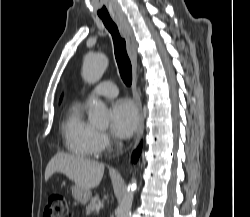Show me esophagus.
Masks as SVG:
<instances>
[{
    "instance_id": "1",
    "label": "esophagus",
    "mask_w": 250,
    "mask_h": 217,
    "mask_svg": "<svg viewBox=\"0 0 250 217\" xmlns=\"http://www.w3.org/2000/svg\"><path fill=\"white\" fill-rule=\"evenodd\" d=\"M121 34L126 39L127 43V50L130 57V60L132 62V68H133V78H132V93L133 98L137 107L138 115H139V126L137 130V135L134 141L133 149L137 147V145L140 142V139L143 135L144 131V115L142 112V103L140 94L137 90V51H136V40L133 33V30L126 18H118L115 19Z\"/></svg>"
}]
</instances>
